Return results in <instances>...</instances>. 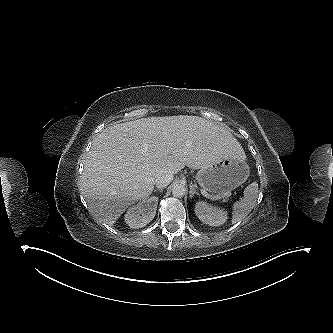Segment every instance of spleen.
Masks as SVG:
<instances>
[{"instance_id":"spleen-1","label":"spleen","mask_w":333,"mask_h":333,"mask_svg":"<svg viewBox=\"0 0 333 333\" xmlns=\"http://www.w3.org/2000/svg\"><path fill=\"white\" fill-rule=\"evenodd\" d=\"M257 197L258 184L253 182L245 188L244 197L233 204L232 224L240 222L252 211Z\"/></svg>"}]
</instances>
